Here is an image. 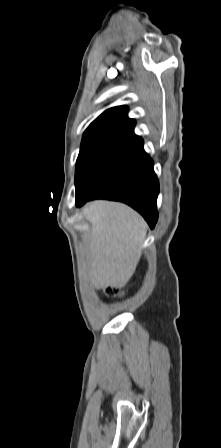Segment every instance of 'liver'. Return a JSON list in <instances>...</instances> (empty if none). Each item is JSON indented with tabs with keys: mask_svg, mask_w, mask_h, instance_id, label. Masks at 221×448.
<instances>
[{
	"mask_svg": "<svg viewBox=\"0 0 221 448\" xmlns=\"http://www.w3.org/2000/svg\"><path fill=\"white\" fill-rule=\"evenodd\" d=\"M91 224L84 237L89 278L99 288L124 287L139 263L147 224L132 208L96 200L83 210Z\"/></svg>",
	"mask_w": 221,
	"mask_h": 448,
	"instance_id": "obj_1",
	"label": "liver"
}]
</instances>
